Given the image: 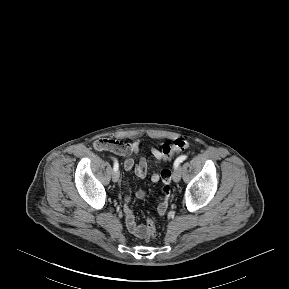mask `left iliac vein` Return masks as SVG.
<instances>
[{"mask_svg": "<svg viewBox=\"0 0 289 289\" xmlns=\"http://www.w3.org/2000/svg\"><path fill=\"white\" fill-rule=\"evenodd\" d=\"M181 179V167L176 168L173 172V181L179 182Z\"/></svg>", "mask_w": 289, "mask_h": 289, "instance_id": "obj_1", "label": "left iliac vein"}]
</instances>
